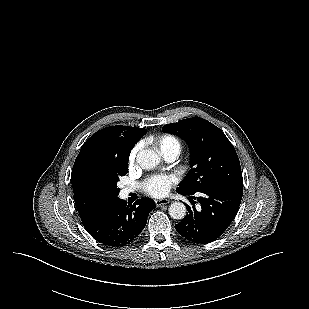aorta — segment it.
<instances>
[{"mask_svg": "<svg viewBox=\"0 0 309 309\" xmlns=\"http://www.w3.org/2000/svg\"><path fill=\"white\" fill-rule=\"evenodd\" d=\"M160 155L154 150L143 149L137 154L136 161L142 169L150 170L160 163ZM169 215L173 219L181 220L186 216V206L181 202H173L169 208Z\"/></svg>", "mask_w": 309, "mask_h": 309, "instance_id": "1", "label": "aorta"}]
</instances>
